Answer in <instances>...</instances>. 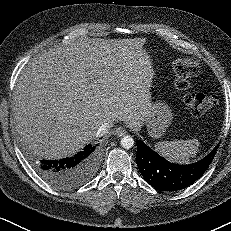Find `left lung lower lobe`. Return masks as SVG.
<instances>
[{
  "instance_id": "0a47b994",
  "label": "left lung lower lobe",
  "mask_w": 231,
  "mask_h": 231,
  "mask_svg": "<svg viewBox=\"0 0 231 231\" xmlns=\"http://www.w3.org/2000/svg\"><path fill=\"white\" fill-rule=\"evenodd\" d=\"M136 145V163L142 176L160 191H177L193 184L207 170L219 146L196 163L178 165L167 161L140 140Z\"/></svg>"
}]
</instances>
